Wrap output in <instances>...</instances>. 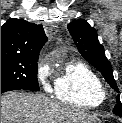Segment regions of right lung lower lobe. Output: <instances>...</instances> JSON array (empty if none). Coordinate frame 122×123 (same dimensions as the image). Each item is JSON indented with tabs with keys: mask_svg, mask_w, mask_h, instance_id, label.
Wrapping results in <instances>:
<instances>
[{
	"mask_svg": "<svg viewBox=\"0 0 122 123\" xmlns=\"http://www.w3.org/2000/svg\"><path fill=\"white\" fill-rule=\"evenodd\" d=\"M18 88L15 87H1V93L11 91V90H17Z\"/></svg>",
	"mask_w": 122,
	"mask_h": 123,
	"instance_id": "obj_1",
	"label": "right lung lower lobe"
}]
</instances>
